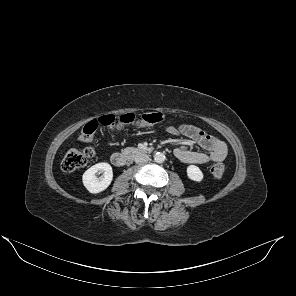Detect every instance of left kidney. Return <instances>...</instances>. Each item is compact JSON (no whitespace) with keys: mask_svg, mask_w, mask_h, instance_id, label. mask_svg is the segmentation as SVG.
<instances>
[{"mask_svg":"<svg viewBox=\"0 0 296 296\" xmlns=\"http://www.w3.org/2000/svg\"><path fill=\"white\" fill-rule=\"evenodd\" d=\"M187 176L189 179L200 182L203 179V173L199 167L195 165H189L187 167Z\"/></svg>","mask_w":296,"mask_h":296,"instance_id":"obj_1","label":"left kidney"}]
</instances>
